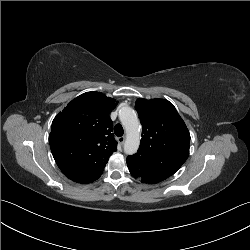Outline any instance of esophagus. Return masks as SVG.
I'll list each match as a JSON object with an SVG mask.
<instances>
[{
  "label": "esophagus",
  "mask_w": 250,
  "mask_h": 250,
  "mask_svg": "<svg viewBox=\"0 0 250 250\" xmlns=\"http://www.w3.org/2000/svg\"><path fill=\"white\" fill-rule=\"evenodd\" d=\"M125 136H121V137H119L118 138V142L121 144V145H123L124 144V142H125Z\"/></svg>",
  "instance_id": "34e87169"
}]
</instances>
